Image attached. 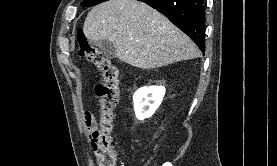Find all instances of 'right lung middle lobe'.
Segmentation results:
<instances>
[{
	"instance_id": "obj_1",
	"label": "right lung middle lobe",
	"mask_w": 277,
	"mask_h": 166,
	"mask_svg": "<svg viewBox=\"0 0 277 166\" xmlns=\"http://www.w3.org/2000/svg\"><path fill=\"white\" fill-rule=\"evenodd\" d=\"M107 0H84L81 5L85 7H92Z\"/></svg>"
}]
</instances>
